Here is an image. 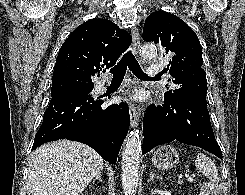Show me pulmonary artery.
Masks as SVG:
<instances>
[{
	"instance_id": "obj_1",
	"label": "pulmonary artery",
	"mask_w": 245,
	"mask_h": 195,
	"mask_svg": "<svg viewBox=\"0 0 245 195\" xmlns=\"http://www.w3.org/2000/svg\"><path fill=\"white\" fill-rule=\"evenodd\" d=\"M157 67H158V64H152L150 66V74H156L157 73Z\"/></svg>"
}]
</instances>
